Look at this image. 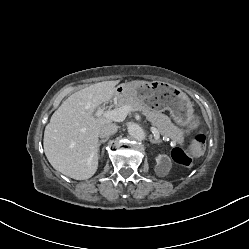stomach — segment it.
Instances as JSON below:
<instances>
[{
	"label": "stomach",
	"mask_w": 249,
	"mask_h": 249,
	"mask_svg": "<svg viewBox=\"0 0 249 249\" xmlns=\"http://www.w3.org/2000/svg\"><path fill=\"white\" fill-rule=\"evenodd\" d=\"M120 96H130L154 111H170L173 120L181 125H188L193 118V104L189 97L176 86L168 83L132 81L115 87Z\"/></svg>",
	"instance_id": "obj_1"
}]
</instances>
